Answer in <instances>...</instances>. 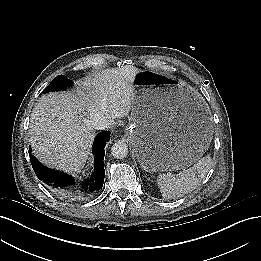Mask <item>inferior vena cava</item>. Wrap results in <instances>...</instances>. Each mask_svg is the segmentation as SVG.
Segmentation results:
<instances>
[{"label":"inferior vena cava","instance_id":"inferior-vena-cava-1","mask_svg":"<svg viewBox=\"0 0 261 261\" xmlns=\"http://www.w3.org/2000/svg\"><path fill=\"white\" fill-rule=\"evenodd\" d=\"M91 126L96 130H103L109 127V119L101 113H97L91 118Z\"/></svg>","mask_w":261,"mask_h":261}]
</instances>
